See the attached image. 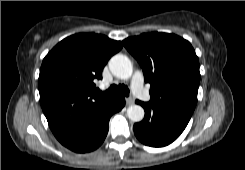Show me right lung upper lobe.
<instances>
[{
  "label": "right lung upper lobe",
  "mask_w": 245,
  "mask_h": 170,
  "mask_svg": "<svg viewBox=\"0 0 245 170\" xmlns=\"http://www.w3.org/2000/svg\"><path fill=\"white\" fill-rule=\"evenodd\" d=\"M121 48L120 41L104 35L79 33L63 39L43 59L40 102L59 141L112 97L95 90L93 81L102 79L104 66Z\"/></svg>",
  "instance_id": "right-lung-upper-lobe-1"
}]
</instances>
